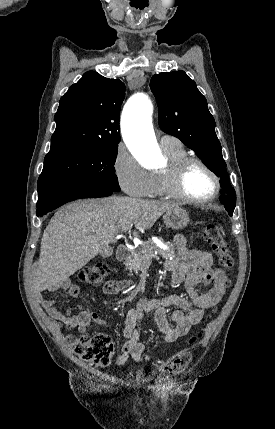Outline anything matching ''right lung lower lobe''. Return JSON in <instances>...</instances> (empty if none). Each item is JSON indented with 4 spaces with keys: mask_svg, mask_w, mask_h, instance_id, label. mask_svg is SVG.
Wrapping results in <instances>:
<instances>
[{
    "mask_svg": "<svg viewBox=\"0 0 275 429\" xmlns=\"http://www.w3.org/2000/svg\"><path fill=\"white\" fill-rule=\"evenodd\" d=\"M113 191L91 187H73L53 192L37 201V216H43L57 207L79 198H97L110 196Z\"/></svg>",
    "mask_w": 275,
    "mask_h": 429,
    "instance_id": "98d812e1",
    "label": "right lung lower lobe"
}]
</instances>
